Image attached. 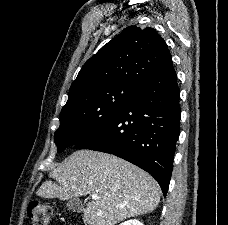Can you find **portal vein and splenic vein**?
Returning <instances> with one entry per match:
<instances>
[{
    "mask_svg": "<svg viewBox=\"0 0 228 225\" xmlns=\"http://www.w3.org/2000/svg\"><path fill=\"white\" fill-rule=\"evenodd\" d=\"M92 199H98V195H91Z\"/></svg>",
    "mask_w": 228,
    "mask_h": 225,
    "instance_id": "18ae733b",
    "label": "portal vein and splenic vein"
}]
</instances>
